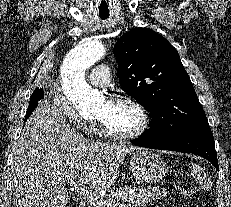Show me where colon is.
Here are the masks:
<instances>
[{
	"instance_id": "colon-1",
	"label": "colon",
	"mask_w": 231,
	"mask_h": 207,
	"mask_svg": "<svg viewBox=\"0 0 231 207\" xmlns=\"http://www.w3.org/2000/svg\"><path fill=\"white\" fill-rule=\"evenodd\" d=\"M179 191L181 193V195L187 199V200H191L192 199V196H193V189L188 186V185H181L179 187ZM186 207H199L197 204L193 203V202H188L186 204Z\"/></svg>"
}]
</instances>
